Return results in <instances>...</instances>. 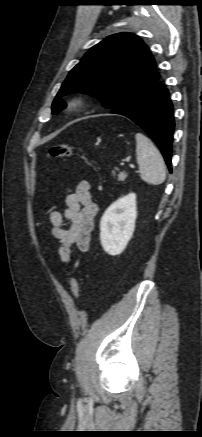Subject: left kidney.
I'll use <instances>...</instances> for the list:
<instances>
[{"label":"left kidney","instance_id":"obj_1","mask_svg":"<svg viewBox=\"0 0 202 437\" xmlns=\"http://www.w3.org/2000/svg\"><path fill=\"white\" fill-rule=\"evenodd\" d=\"M137 217L136 194L130 193L111 204L100 221V240L105 252L119 255L130 241Z\"/></svg>","mask_w":202,"mask_h":437}]
</instances>
